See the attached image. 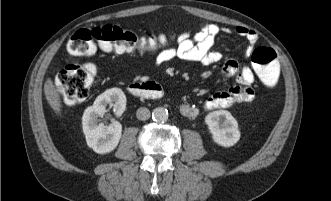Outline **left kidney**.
I'll return each mask as SVG.
<instances>
[{
    "mask_svg": "<svg viewBox=\"0 0 331 201\" xmlns=\"http://www.w3.org/2000/svg\"><path fill=\"white\" fill-rule=\"evenodd\" d=\"M215 143L223 147H231L240 139V131L236 119L229 111L219 110L209 113L205 117Z\"/></svg>",
    "mask_w": 331,
    "mask_h": 201,
    "instance_id": "1",
    "label": "left kidney"
}]
</instances>
